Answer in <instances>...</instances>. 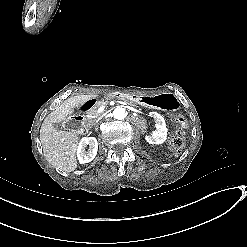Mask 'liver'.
Listing matches in <instances>:
<instances>
[{"mask_svg": "<svg viewBox=\"0 0 247 247\" xmlns=\"http://www.w3.org/2000/svg\"><path fill=\"white\" fill-rule=\"evenodd\" d=\"M97 95H76L66 99L44 119L40 129V141L46 160L62 175L77 168L76 152L79 142L77 131L57 130L54 124L69 120L74 109Z\"/></svg>", "mask_w": 247, "mask_h": 247, "instance_id": "6515ba94", "label": "liver"}]
</instances>
